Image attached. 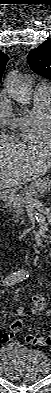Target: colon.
I'll return each instance as SVG.
<instances>
[{"instance_id": "obj_1", "label": "colon", "mask_w": 51, "mask_h": 393, "mask_svg": "<svg viewBox=\"0 0 51 393\" xmlns=\"http://www.w3.org/2000/svg\"><path fill=\"white\" fill-rule=\"evenodd\" d=\"M37 308H40V304H36ZM22 327V320L20 318H15L10 323V329L12 332L19 331ZM26 343L34 348L46 347L51 344V338L49 336L46 337H38V336H29L26 340Z\"/></svg>"}]
</instances>
